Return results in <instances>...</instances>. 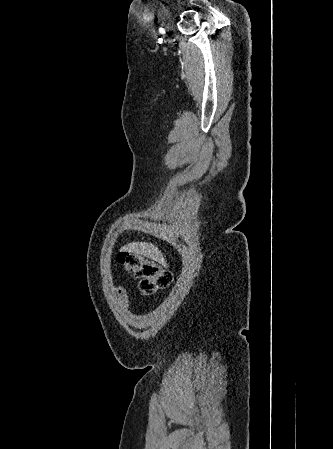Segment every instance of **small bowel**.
Returning <instances> with one entry per match:
<instances>
[{"instance_id":"1","label":"small bowel","mask_w":333,"mask_h":449,"mask_svg":"<svg viewBox=\"0 0 333 449\" xmlns=\"http://www.w3.org/2000/svg\"><path fill=\"white\" fill-rule=\"evenodd\" d=\"M113 291L116 295L117 302H118L119 306L121 307V309H126L129 304L126 289L123 286H115L113 288Z\"/></svg>"}]
</instances>
